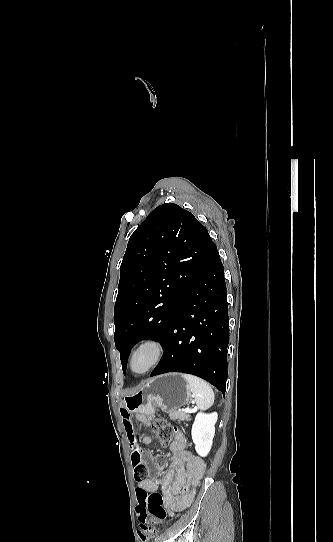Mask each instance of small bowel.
Segmentation results:
<instances>
[{
    "mask_svg": "<svg viewBox=\"0 0 333 542\" xmlns=\"http://www.w3.org/2000/svg\"><path fill=\"white\" fill-rule=\"evenodd\" d=\"M133 409H122L120 416L124 423V429L128 438L133 462H137L142 457L146 463H151L154 460V455L151 452H146L142 455L141 444L137 430L134 426L136 423ZM144 425L149 426L150 420L141 421ZM143 444H150L152 437L143 435L141 437ZM171 463L165 474L161 475L162 470L157 469L158 477L148 478L139 481V488L148 491L162 490L163 499L166 508L171 515L185 510L194 500L196 487L202 480L205 471V461L192 454L185 447V439L183 434L177 433L174 441L170 445ZM157 462L165 461L164 453L156 454Z\"/></svg>",
    "mask_w": 333,
    "mask_h": 542,
    "instance_id": "small-bowel-1",
    "label": "small bowel"
}]
</instances>
